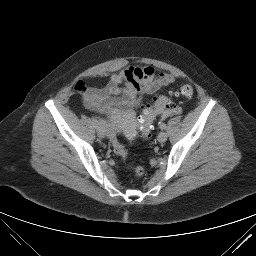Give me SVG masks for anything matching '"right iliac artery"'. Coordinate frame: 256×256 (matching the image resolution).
<instances>
[{"mask_svg":"<svg viewBox=\"0 0 256 256\" xmlns=\"http://www.w3.org/2000/svg\"><path fill=\"white\" fill-rule=\"evenodd\" d=\"M92 124L96 129L100 128V122L95 117H92Z\"/></svg>","mask_w":256,"mask_h":256,"instance_id":"right-iliac-artery-1","label":"right iliac artery"}]
</instances>
